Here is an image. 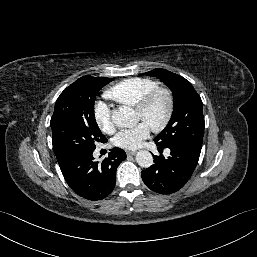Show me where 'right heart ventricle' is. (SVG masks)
<instances>
[{"instance_id":"obj_1","label":"right heart ventricle","mask_w":257,"mask_h":257,"mask_svg":"<svg viewBox=\"0 0 257 257\" xmlns=\"http://www.w3.org/2000/svg\"><path fill=\"white\" fill-rule=\"evenodd\" d=\"M157 86V82L152 79L128 78L107 89L105 96L119 104L136 107L140 100Z\"/></svg>"}]
</instances>
